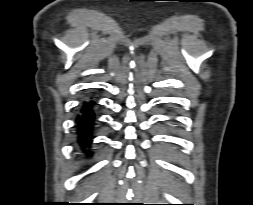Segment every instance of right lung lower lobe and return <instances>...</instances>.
Returning <instances> with one entry per match:
<instances>
[{"label":"right lung lower lobe","instance_id":"obj_1","mask_svg":"<svg viewBox=\"0 0 253 205\" xmlns=\"http://www.w3.org/2000/svg\"><path fill=\"white\" fill-rule=\"evenodd\" d=\"M94 102L85 103L84 108L81 110L80 117L77 118V127H78V135L79 142L82 147H87L92 142V136L90 135L91 129L93 127L94 122V112L91 109V106Z\"/></svg>","mask_w":253,"mask_h":205}]
</instances>
